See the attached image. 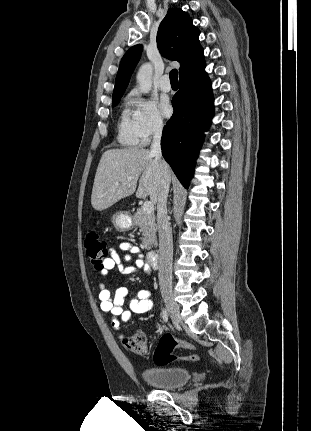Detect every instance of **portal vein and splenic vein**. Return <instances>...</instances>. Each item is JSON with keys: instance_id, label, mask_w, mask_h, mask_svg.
<instances>
[{"instance_id": "portal-vein-and-splenic-vein-1", "label": "portal vein and splenic vein", "mask_w": 311, "mask_h": 431, "mask_svg": "<svg viewBox=\"0 0 311 431\" xmlns=\"http://www.w3.org/2000/svg\"><path fill=\"white\" fill-rule=\"evenodd\" d=\"M116 184H119V182H116ZM142 208L144 212H147V214H152V212H154V206L152 202H144Z\"/></svg>"}]
</instances>
